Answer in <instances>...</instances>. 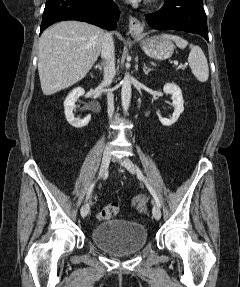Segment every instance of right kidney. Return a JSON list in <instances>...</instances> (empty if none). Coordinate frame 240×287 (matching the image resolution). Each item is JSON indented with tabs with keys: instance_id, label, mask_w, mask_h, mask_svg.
<instances>
[{
	"instance_id": "1",
	"label": "right kidney",
	"mask_w": 240,
	"mask_h": 287,
	"mask_svg": "<svg viewBox=\"0 0 240 287\" xmlns=\"http://www.w3.org/2000/svg\"><path fill=\"white\" fill-rule=\"evenodd\" d=\"M85 93L82 87L73 89L64 101V113L68 123L75 128H82L88 125L91 120V115H87L84 119H76L73 114L75 108V102L80 96Z\"/></svg>"
}]
</instances>
